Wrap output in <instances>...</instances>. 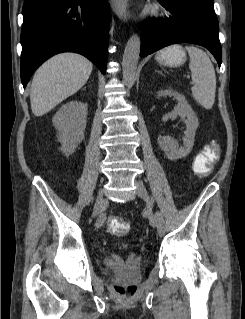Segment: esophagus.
<instances>
[{
	"label": "esophagus",
	"instance_id": "obj_1",
	"mask_svg": "<svg viewBox=\"0 0 245 319\" xmlns=\"http://www.w3.org/2000/svg\"><path fill=\"white\" fill-rule=\"evenodd\" d=\"M110 4L116 15L123 21H127V3L126 0H110Z\"/></svg>",
	"mask_w": 245,
	"mask_h": 319
}]
</instances>
